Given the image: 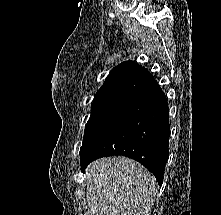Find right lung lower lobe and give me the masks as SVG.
<instances>
[{
  "label": "right lung lower lobe",
  "mask_w": 221,
  "mask_h": 215,
  "mask_svg": "<svg viewBox=\"0 0 221 215\" xmlns=\"http://www.w3.org/2000/svg\"><path fill=\"white\" fill-rule=\"evenodd\" d=\"M169 133L167 98L156 85L130 102L94 149L80 158L81 169L98 158L123 155L143 164L161 185Z\"/></svg>",
  "instance_id": "right-lung-lower-lobe-1"
}]
</instances>
